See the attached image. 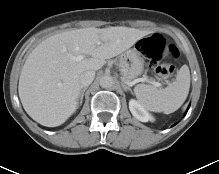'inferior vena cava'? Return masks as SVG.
Wrapping results in <instances>:
<instances>
[{
    "mask_svg": "<svg viewBox=\"0 0 219 174\" xmlns=\"http://www.w3.org/2000/svg\"><path fill=\"white\" fill-rule=\"evenodd\" d=\"M95 78V71H86L81 74L80 76V82L82 86H88L92 83V81Z\"/></svg>",
    "mask_w": 219,
    "mask_h": 174,
    "instance_id": "obj_1",
    "label": "inferior vena cava"
}]
</instances>
